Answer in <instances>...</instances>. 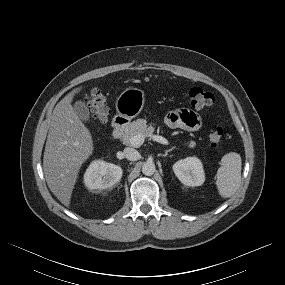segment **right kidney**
<instances>
[{
    "mask_svg": "<svg viewBox=\"0 0 285 285\" xmlns=\"http://www.w3.org/2000/svg\"><path fill=\"white\" fill-rule=\"evenodd\" d=\"M122 168L103 160L93 161L84 175L85 186L90 189H107L122 177Z\"/></svg>",
    "mask_w": 285,
    "mask_h": 285,
    "instance_id": "1",
    "label": "right kidney"
}]
</instances>
